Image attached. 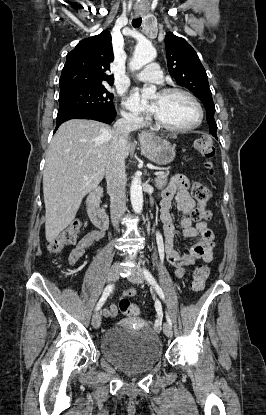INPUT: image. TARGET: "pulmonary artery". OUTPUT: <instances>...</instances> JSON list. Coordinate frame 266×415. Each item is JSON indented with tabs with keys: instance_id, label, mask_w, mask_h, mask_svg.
Here are the masks:
<instances>
[{
	"instance_id": "1",
	"label": "pulmonary artery",
	"mask_w": 266,
	"mask_h": 415,
	"mask_svg": "<svg viewBox=\"0 0 266 415\" xmlns=\"http://www.w3.org/2000/svg\"><path fill=\"white\" fill-rule=\"evenodd\" d=\"M135 77L141 81L151 83L162 82V73L160 71L159 65L156 63H151L147 65L142 71L137 73Z\"/></svg>"
}]
</instances>
